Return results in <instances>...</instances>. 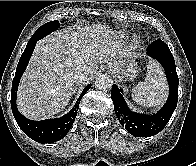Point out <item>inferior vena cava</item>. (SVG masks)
I'll return each mask as SVG.
<instances>
[{
	"instance_id": "1",
	"label": "inferior vena cava",
	"mask_w": 196,
	"mask_h": 166,
	"mask_svg": "<svg viewBox=\"0 0 196 166\" xmlns=\"http://www.w3.org/2000/svg\"><path fill=\"white\" fill-rule=\"evenodd\" d=\"M74 76H75V78H76L78 81L82 82V81H84V80L87 79V77H88V72H87L86 70H83V69H81V68H78V69L76 70Z\"/></svg>"
}]
</instances>
